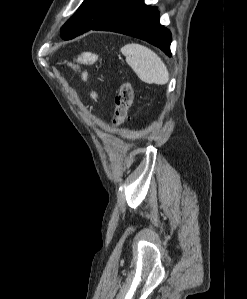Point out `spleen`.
Masks as SVG:
<instances>
[{
  "instance_id": "spleen-1",
  "label": "spleen",
  "mask_w": 247,
  "mask_h": 299,
  "mask_svg": "<svg viewBox=\"0 0 247 299\" xmlns=\"http://www.w3.org/2000/svg\"><path fill=\"white\" fill-rule=\"evenodd\" d=\"M126 62L139 79L148 84L163 85L169 81V73L162 59L146 46L131 43L121 48Z\"/></svg>"
}]
</instances>
